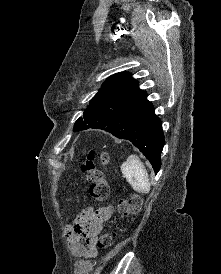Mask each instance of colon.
<instances>
[{"label": "colon", "instance_id": "obj_1", "mask_svg": "<svg viewBox=\"0 0 221 274\" xmlns=\"http://www.w3.org/2000/svg\"><path fill=\"white\" fill-rule=\"evenodd\" d=\"M94 152L89 151L85 154V160L81 165V171L86 175L90 183L89 194L97 200H104L109 195V185L104 177L103 172L98 169L93 161ZM109 156L106 152L101 154L103 164L108 163ZM142 207V199L139 195H131L126 199H121L118 202V213L121 216L135 215L140 212ZM115 233L110 230H104L97 240L99 248L110 247L115 239Z\"/></svg>", "mask_w": 221, "mask_h": 274}]
</instances>
